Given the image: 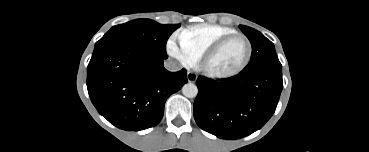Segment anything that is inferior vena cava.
Here are the masks:
<instances>
[{
    "mask_svg": "<svg viewBox=\"0 0 369 152\" xmlns=\"http://www.w3.org/2000/svg\"><path fill=\"white\" fill-rule=\"evenodd\" d=\"M164 67L170 72H176L182 69V65L171 58L165 60Z\"/></svg>",
    "mask_w": 369,
    "mask_h": 152,
    "instance_id": "obj_1",
    "label": "inferior vena cava"
}]
</instances>
